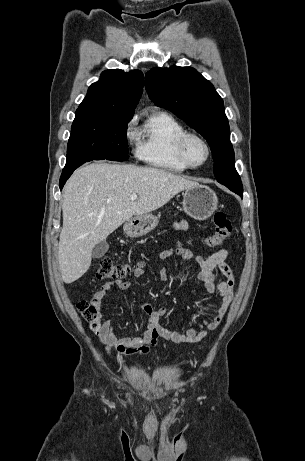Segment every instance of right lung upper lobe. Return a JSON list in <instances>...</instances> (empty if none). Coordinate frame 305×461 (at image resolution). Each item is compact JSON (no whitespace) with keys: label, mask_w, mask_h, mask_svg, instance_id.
<instances>
[{"label":"right lung upper lobe","mask_w":305,"mask_h":461,"mask_svg":"<svg viewBox=\"0 0 305 461\" xmlns=\"http://www.w3.org/2000/svg\"><path fill=\"white\" fill-rule=\"evenodd\" d=\"M143 91V73L120 69L102 72L76 110L78 113L132 118Z\"/></svg>","instance_id":"right-lung-upper-lobe-1"}]
</instances>
